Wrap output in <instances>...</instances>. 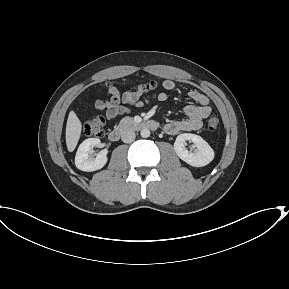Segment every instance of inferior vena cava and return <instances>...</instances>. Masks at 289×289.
Masks as SVG:
<instances>
[{
    "mask_svg": "<svg viewBox=\"0 0 289 289\" xmlns=\"http://www.w3.org/2000/svg\"><path fill=\"white\" fill-rule=\"evenodd\" d=\"M135 132L131 129H126L121 134V139L124 143H131L135 140Z\"/></svg>",
    "mask_w": 289,
    "mask_h": 289,
    "instance_id": "inferior-vena-cava-1",
    "label": "inferior vena cava"
}]
</instances>
